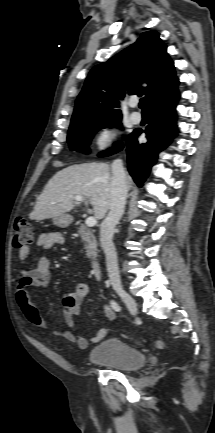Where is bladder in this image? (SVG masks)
Masks as SVG:
<instances>
[{
  "instance_id": "1",
  "label": "bladder",
  "mask_w": 215,
  "mask_h": 433,
  "mask_svg": "<svg viewBox=\"0 0 215 433\" xmlns=\"http://www.w3.org/2000/svg\"><path fill=\"white\" fill-rule=\"evenodd\" d=\"M91 364H102L120 371H133L145 364L144 354L137 348L117 338H107L88 354Z\"/></svg>"
}]
</instances>
